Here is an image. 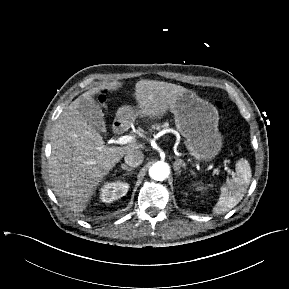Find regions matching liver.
<instances>
[{
	"label": "liver",
	"mask_w": 289,
	"mask_h": 289,
	"mask_svg": "<svg viewBox=\"0 0 289 289\" xmlns=\"http://www.w3.org/2000/svg\"><path fill=\"white\" fill-rule=\"evenodd\" d=\"M118 81L105 82L75 99L58 117L52 129L49 178L54 193L74 210L82 211L100 182L129 151L140 150L133 141L125 146H106L102 136L87 122L82 107L94 102L93 96L104 90L122 87ZM180 85L141 80L135 85L138 112L152 119L161 118L181 94Z\"/></svg>",
	"instance_id": "1"
}]
</instances>
